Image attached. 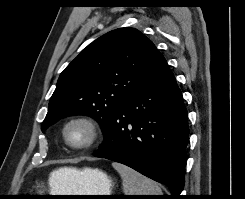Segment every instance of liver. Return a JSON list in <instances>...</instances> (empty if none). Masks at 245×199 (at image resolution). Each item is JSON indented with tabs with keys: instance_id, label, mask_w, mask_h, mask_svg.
I'll return each instance as SVG.
<instances>
[{
	"instance_id": "6515ba94",
	"label": "liver",
	"mask_w": 245,
	"mask_h": 199,
	"mask_svg": "<svg viewBox=\"0 0 245 199\" xmlns=\"http://www.w3.org/2000/svg\"><path fill=\"white\" fill-rule=\"evenodd\" d=\"M75 168H67V167H64V168H60L56 171H53L51 174H50V178H49V182H50V186L53 187L54 185V181H52V177L55 175V174H58V173H63L65 175H69V174H72L73 172H75ZM53 192V190H52ZM54 193V192H53Z\"/></svg>"
}]
</instances>
